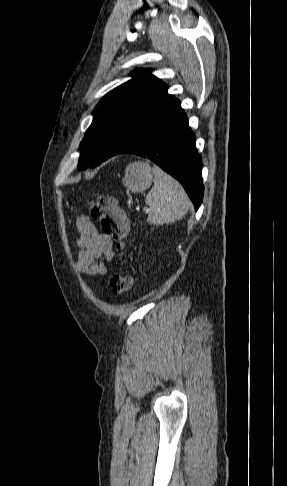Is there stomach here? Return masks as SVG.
Masks as SVG:
<instances>
[{"label":"stomach","mask_w":287,"mask_h":486,"mask_svg":"<svg viewBox=\"0 0 287 486\" xmlns=\"http://www.w3.org/2000/svg\"><path fill=\"white\" fill-rule=\"evenodd\" d=\"M152 181V170L146 162H134L125 169L123 184L132 192L145 191L151 186Z\"/></svg>","instance_id":"obj_1"}]
</instances>
